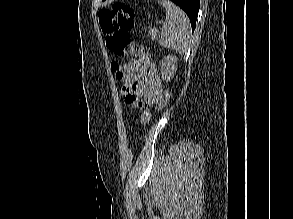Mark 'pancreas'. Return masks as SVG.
<instances>
[{
	"instance_id": "pancreas-1",
	"label": "pancreas",
	"mask_w": 293,
	"mask_h": 219,
	"mask_svg": "<svg viewBox=\"0 0 293 219\" xmlns=\"http://www.w3.org/2000/svg\"><path fill=\"white\" fill-rule=\"evenodd\" d=\"M149 33H150V36H151L152 40L157 39L158 33H157L156 30H151Z\"/></svg>"
}]
</instances>
